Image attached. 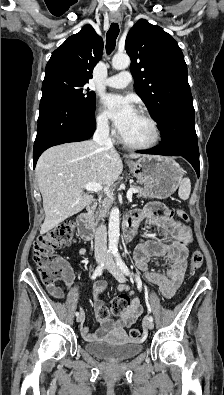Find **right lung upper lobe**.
Returning a JSON list of instances; mask_svg holds the SVG:
<instances>
[{"label":"right lung upper lobe","instance_id":"1","mask_svg":"<svg viewBox=\"0 0 224 395\" xmlns=\"http://www.w3.org/2000/svg\"><path fill=\"white\" fill-rule=\"evenodd\" d=\"M102 53V38L87 24L52 53L46 65L45 76L63 74L88 82Z\"/></svg>","mask_w":224,"mask_h":395}]
</instances>
